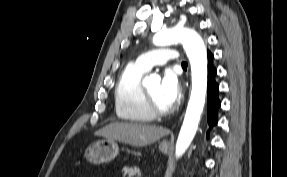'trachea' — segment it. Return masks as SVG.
<instances>
[{
  "instance_id": "trachea-1",
  "label": "trachea",
  "mask_w": 287,
  "mask_h": 177,
  "mask_svg": "<svg viewBox=\"0 0 287 177\" xmlns=\"http://www.w3.org/2000/svg\"><path fill=\"white\" fill-rule=\"evenodd\" d=\"M182 66H185V67H186V66H187V63H186V62H183V63H182Z\"/></svg>"
}]
</instances>
